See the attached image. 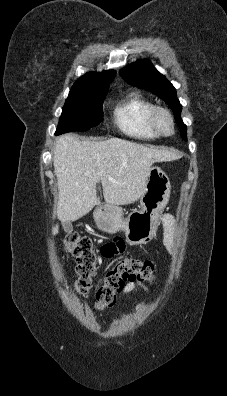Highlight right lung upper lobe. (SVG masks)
Returning <instances> with one entry per match:
<instances>
[{"label": "right lung upper lobe", "mask_w": 227, "mask_h": 396, "mask_svg": "<svg viewBox=\"0 0 227 396\" xmlns=\"http://www.w3.org/2000/svg\"><path fill=\"white\" fill-rule=\"evenodd\" d=\"M116 72L103 71L101 73L89 72L78 79L73 87H92L100 90H108L109 83L113 80Z\"/></svg>", "instance_id": "1"}]
</instances>
